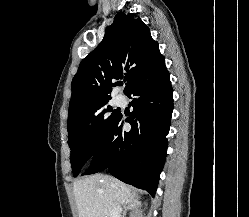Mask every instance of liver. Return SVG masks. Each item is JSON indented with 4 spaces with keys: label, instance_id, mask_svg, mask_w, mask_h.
Returning a JSON list of instances; mask_svg holds the SVG:
<instances>
[{
    "label": "liver",
    "instance_id": "obj_1",
    "mask_svg": "<svg viewBox=\"0 0 249 217\" xmlns=\"http://www.w3.org/2000/svg\"><path fill=\"white\" fill-rule=\"evenodd\" d=\"M73 191L79 217H112L114 203L138 202L126 184L102 174L76 181Z\"/></svg>",
    "mask_w": 249,
    "mask_h": 217
}]
</instances>
